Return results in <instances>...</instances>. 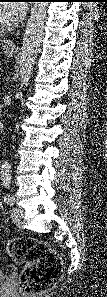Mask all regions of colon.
Segmentation results:
<instances>
[{"label":"colon","mask_w":107,"mask_h":297,"mask_svg":"<svg viewBox=\"0 0 107 297\" xmlns=\"http://www.w3.org/2000/svg\"><path fill=\"white\" fill-rule=\"evenodd\" d=\"M7 250L23 268L21 291L25 297H38L50 290L62 273V262L46 243L27 238L13 239Z\"/></svg>","instance_id":"obj_1"}]
</instances>
